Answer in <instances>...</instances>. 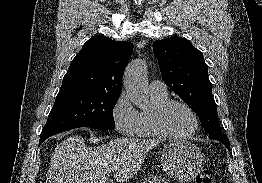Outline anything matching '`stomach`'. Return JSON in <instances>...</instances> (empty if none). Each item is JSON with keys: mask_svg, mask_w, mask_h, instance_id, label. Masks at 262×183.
Instances as JSON below:
<instances>
[{"mask_svg": "<svg viewBox=\"0 0 262 183\" xmlns=\"http://www.w3.org/2000/svg\"><path fill=\"white\" fill-rule=\"evenodd\" d=\"M203 155L191 142L171 140L161 152V163L168 176L187 182L195 178L203 168Z\"/></svg>", "mask_w": 262, "mask_h": 183, "instance_id": "1", "label": "stomach"}]
</instances>
